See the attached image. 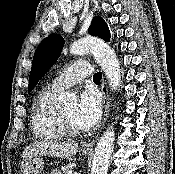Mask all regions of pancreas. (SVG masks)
Returning a JSON list of instances; mask_svg holds the SVG:
<instances>
[{
    "mask_svg": "<svg viewBox=\"0 0 175 174\" xmlns=\"http://www.w3.org/2000/svg\"><path fill=\"white\" fill-rule=\"evenodd\" d=\"M62 171H63L64 174H74L72 163H69L68 165H66L65 167H63L62 168Z\"/></svg>",
    "mask_w": 175,
    "mask_h": 174,
    "instance_id": "cf45deb5",
    "label": "pancreas"
}]
</instances>
